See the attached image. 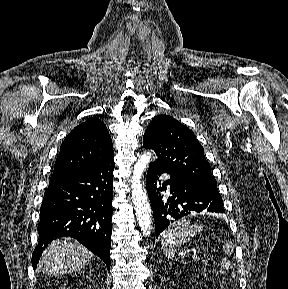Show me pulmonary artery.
<instances>
[{
	"label": "pulmonary artery",
	"mask_w": 288,
	"mask_h": 289,
	"mask_svg": "<svg viewBox=\"0 0 288 289\" xmlns=\"http://www.w3.org/2000/svg\"><path fill=\"white\" fill-rule=\"evenodd\" d=\"M164 179H165V180H168V177H167V176H165V177H164Z\"/></svg>",
	"instance_id": "obj_1"
}]
</instances>
